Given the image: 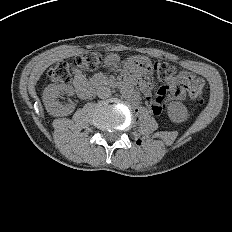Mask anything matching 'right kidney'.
<instances>
[{
    "mask_svg": "<svg viewBox=\"0 0 232 232\" xmlns=\"http://www.w3.org/2000/svg\"><path fill=\"white\" fill-rule=\"evenodd\" d=\"M73 95L74 89L66 84H50L43 91V103L47 112L53 117H63L70 115L75 105L71 102L68 104H61L57 98L61 94Z\"/></svg>",
    "mask_w": 232,
    "mask_h": 232,
    "instance_id": "1",
    "label": "right kidney"
}]
</instances>
